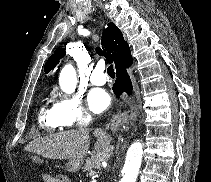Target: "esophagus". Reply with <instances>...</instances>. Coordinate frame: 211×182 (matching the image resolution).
<instances>
[{"label":"esophagus","mask_w":211,"mask_h":182,"mask_svg":"<svg viewBox=\"0 0 211 182\" xmlns=\"http://www.w3.org/2000/svg\"><path fill=\"white\" fill-rule=\"evenodd\" d=\"M122 98H123V100L127 99V95H123Z\"/></svg>","instance_id":"34e87169"}]
</instances>
